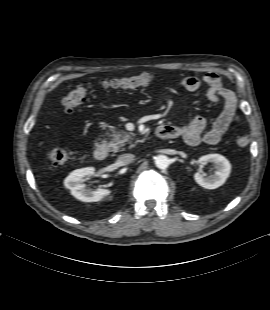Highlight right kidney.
Returning <instances> with one entry per match:
<instances>
[{"label":"right kidney","instance_id":"right-kidney-1","mask_svg":"<svg viewBox=\"0 0 270 310\" xmlns=\"http://www.w3.org/2000/svg\"><path fill=\"white\" fill-rule=\"evenodd\" d=\"M95 172L94 167H85L76 169L71 172L64 180V186L71 191V194L83 202H98L105 196H108L111 191L109 189L91 190L85 188L83 184L86 176H91Z\"/></svg>","mask_w":270,"mask_h":310}]
</instances>
